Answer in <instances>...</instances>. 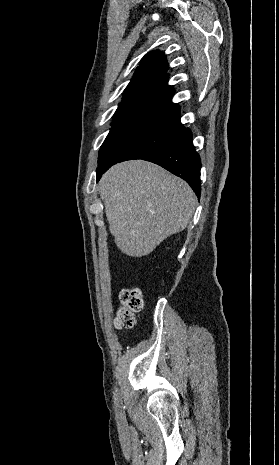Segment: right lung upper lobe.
Listing matches in <instances>:
<instances>
[{"label":"right lung upper lobe","mask_w":279,"mask_h":465,"mask_svg":"<svg viewBox=\"0 0 279 465\" xmlns=\"http://www.w3.org/2000/svg\"><path fill=\"white\" fill-rule=\"evenodd\" d=\"M165 55L160 51L147 54L124 91L114 114L113 126L128 123L181 125L180 109L172 103L174 94L168 85Z\"/></svg>","instance_id":"1"}]
</instances>
